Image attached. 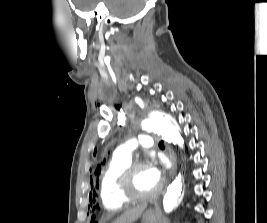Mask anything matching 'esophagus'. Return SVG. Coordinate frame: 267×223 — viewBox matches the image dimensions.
Instances as JSON below:
<instances>
[{
	"label": "esophagus",
	"instance_id": "1",
	"mask_svg": "<svg viewBox=\"0 0 267 223\" xmlns=\"http://www.w3.org/2000/svg\"><path fill=\"white\" fill-rule=\"evenodd\" d=\"M167 150H168V158L171 162L170 175H173L175 173V170H176V156H175V153L171 147L167 146Z\"/></svg>",
	"mask_w": 267,
	"mask_h": 223
}]
</instances>
